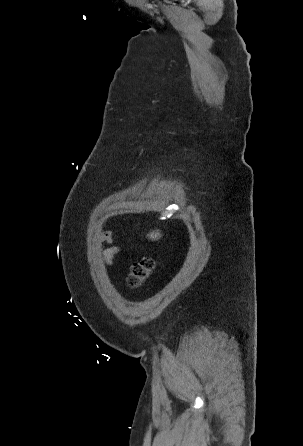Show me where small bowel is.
Returning <instances> with one entry per match:
<instances>
[{"label":"small bowel","instance_id":"small-bowel-1","mask_svg":"<svg viewBox=\"0 0 303 446\" xmlns=\"http://www.w3.org/2000/svg\"><path fill=\"white\" fill-rule=\"evenodd\" d=\"M98 240L108 244V247L103 250L102 258L107 266L112 267L115 257L121 254V249L114 243L111 233L102 234Z\"/></svg>","mask_w":303,"mask_h":446}]
</instances>
